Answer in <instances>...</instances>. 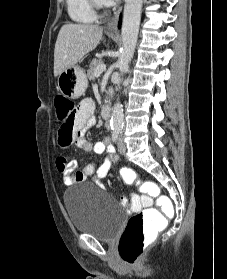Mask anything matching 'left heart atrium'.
<instances>
[{"label": "left heart atrium", "mask_w": 227, "mask_h": 279, "mask_svg": "<svg viewBox=\"0 0 227 279\" xmlns=\"http://www.w3.org/2000/svg\"><path fill=\"white\" fill-rule=\"evenodd\" d=\"M103 5H112L115 3L116 0H100Z\"/></svg>", "instance_id": "39dd6f15"}]
</instances>
